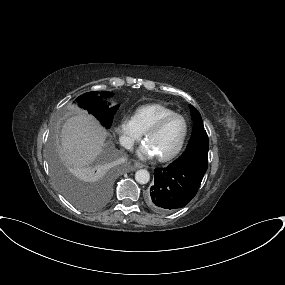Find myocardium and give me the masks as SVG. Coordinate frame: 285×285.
I'll use <instances>...</instances> for the list:
<instances>
[{
    "mask_svg": "<svg viewBox=\"0 0 285 285\" xmlns=\"http://www.w3.org/2000/svg\"><path fill=\"white\" fill-rule=\"evenodd\" d=\"M175 118H180L183 121V123H184V133H183V136L181 138L180 143L178 144V146L173 151H171L170 153L165 154V155H157V158L160 161L172 160L182 150V148H183V146L185 144L187 135H188V130H189L188 122H187L186 118L184 116L180 115V114L174 113L172 115H169V116L161 118L154 125H152L149 129H147L144 132V139L146 140L148 136H150L151 134H154V133L160 131L165 126V124H167L169 121H171L172 119H175Z\"/></svg>",
    "mask_w": 285,
    "mask_h": 285,
    "instance_id": "f54148a6",
    "label": "myocardium"
}]
</instances>
